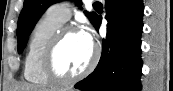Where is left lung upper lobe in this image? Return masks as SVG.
<instances>
[{"label": "left lung upper lobe", "mask_w": 173, "mask_h": 91, "mask_svg": "<svg viewBox=\"0 0 173 91\" xmlns=\"http://www.w3.org/2000/svg\"><path fill=\"white\" fill-rule=\"evenodd\" d=\"M60 0H24V7L18 19L17 37L18 53H21L28 41L35 24L44 11L52 4ZM77 6L81 5V0H76ZM86 16L94 25L97 14L95 12L85 11Z\"/></svg>", "instance_id": "1"}]
</instances>
